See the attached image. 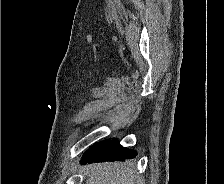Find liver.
Returning a JSON list of instances; mask_svg holds the SVG:
<instances>
[{
    "label": "liver",
    "mask_w": 224,
    "mask_h": 184,
    "mask_svg": "<svg viewBox=\"0 0 224 184\" xmlns=\"http://www.w3.org/2000/svg\"><path fill=\"white\" fill-rule=\"evenodd\" d=\"M86 184H136L132 163H99L83 168Z\"/></svg>",
    "instance_id": "6515ba94"
}]
</instances>
